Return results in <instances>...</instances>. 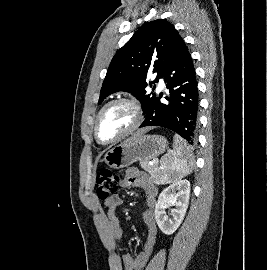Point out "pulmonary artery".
I'll list each match as a JSON object with an SVG mask.
<instances>
[{
    "label": "pulmonary artery",
    "instance_id": "pulmonary-artery-1",
    "mask_svg": "<svg viewBox=\"0 0 267 270\" xmlns=\"http://www.w3.org/2000/svg\"><path fill=\"white\" fill-rule=\"evenodd\" d=\"M164 86H165L164 80L160 78L159 81H158L159 89H162Z\"/></svg>",
    "mask_w": 267,
    "mask_h": 270
}]
</instances>
